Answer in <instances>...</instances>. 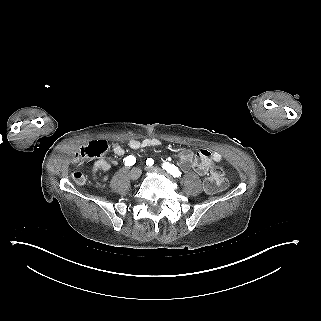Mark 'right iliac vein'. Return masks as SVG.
<instances>
[{
  "mask_svg": "<svg viewBox=\"0 0 321 321\" xmlns=\"http://www.w3.org/2000/svg\"><path fill=\"white\" fill-rule=\"evenodd\" d=\"M140 175H141V169L137 167L133 168L129 173L131 180H137L140 177Z\"/></svg>",
  "mask_w": 321,
  "mask_h": 321,
  "instance_id": "63e3f726",
  "label": "right iliac vein"
}]
</instances>
